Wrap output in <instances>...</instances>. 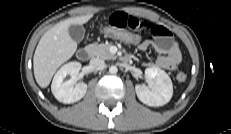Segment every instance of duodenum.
<instances>
[{"mask_svg":"<svg viewBox=\"0 0 231 134\" xmlns=\"http://www.w3.org/2000/svg\"><path fill=\"white\" fill-rule=\"evenodd\" d=\"M91 51L88 47L81 48L77 51L76 56L78 60L85 62L90 58Z\"/></svg>","mask_w":231,"mask_h":134,"instance_id":"1","label":"duodenum"}]
</instances>
